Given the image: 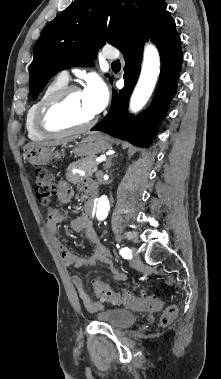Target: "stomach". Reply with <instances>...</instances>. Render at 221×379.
<instances>
[{
	"mask_svg": "<svg viewBox=\"0 0 221 379\" xmlns=\"http://www.w3.org/2000/svg\"><path fill=\"white\" fill-rule=\"evenodd\" d=\"M108 148H111V145L104 136L98 133H90L76 143L73 153L75 156L92 158ZM24 156L32 165H46L53 159L61 158L60 152L55 151L54 148L34 144H28L24 147Z\"/></svg>",
	"mask_w": 221,
	"mask_h": 379,
	"instance_id": "0dacf381",
	"label": "stomach"
}]
</instances>
